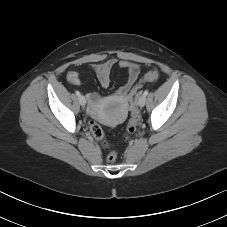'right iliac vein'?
I'll return each instance as SVG.
<instances>
[{
    "mask_svg": "<svg viewBox=\"0 0 227 227\" xmlns=\"http://www.w3.org/2000/svg\"><path fill=\"white\" fill-rule=\"evenodd\" d=\"M78 100H79L80 105H82V106L86 105V99L84 96L80 95Z\"/></svg>",
    "mask_w": 227,
    "mask_h": 227,
    "instance_id": "obj_1",
    "label": "right iliac vein"
}]
</instances>
